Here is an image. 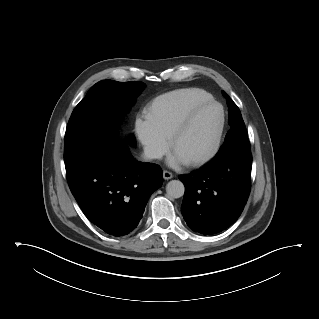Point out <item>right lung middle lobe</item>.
Returning <instances> with one entry per match:
<instances>
[{
    "mask_svg": "<svg viewBox=\"0 0 319 319\" xmlns=\"http://www.w3.org/2000/svg\"><path fill=\"white\" fill-rule=\"evenodd\" d=\"M142 82L102 80L75 107L65 133L64 161L71 170L96 141L115 137L119 112L128 109L144 89Z\"/></svg>",
    "mask_w": 319,
    "mask_h": 319,
    "instance_id": "obj_1",
    "label": "right lung middle lobe"
}]
</instances>
